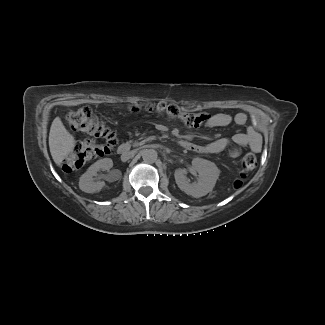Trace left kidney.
I'll use <instances>...</instances> for the list:
<instances>
[{
    "mask_svg": "<svg viewBox=\"0 0 325 325\" xmlns=\"http://www.w3.org/2000/svg\"><path fill=\"white\" fill-rule=\"evenodd\" d=\"M192 168L198 173V182L189 183L186 176L187 170L179 168L174 173L176 184L187 195L194 198L207 195L213 190L220 170L213 162L202 158H194L192 160Z\"/></svg>",
    "mask_w": 325,
    "mask_h": 325,
    "instance_id": "obj_1",
    "label": "left kidney"
}]
</instances>
